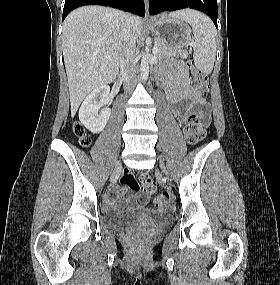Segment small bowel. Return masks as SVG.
I'll return each mask as SVG.
<instances>
[{"label":"small bowel","mask_w":280,"mask_h":285,"mask_svg":"<svg viewBox=\"0 0 280 285\" xmlns=\"http://www.w3.org/2000/svg\"><path fill=\"white\" fill-rule=\"evenodd\" d=\"M162 83L169 102L176 106L175 115L178 118L184 117L194 105H199L201 118L209 121V105L190 85L184 68L178 67L171 73L163 75ZM116 190L117 188H112L110 193ZM126 193L127 189L124 188L122 191L123 201L128 205L147 203V197L145 195L126 196ZM112 202L110 197L106 201L109 205L112 204Z\"/></svg>","instance_id":"c3829d8e"}]
</instances>
